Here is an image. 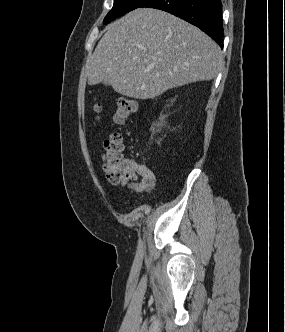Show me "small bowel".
<instances>
[{
    "instance_id": "1",
    "label": "small bowel",
    "mask_w": 285,
    "mask_h": 332,
    "mask_svg": "<svg viewBox=\"0 0 285 332\" xmlns=\"http://www.w3.org/2000/svg\"><path fill=\"white\" fill-rule=\"evenodd\" d=\"M139 181L130 182L128 188L135 192L150 191L156 186V176L153 171L144 164L131 162Z\"/></svg>"
}]
</instances>
